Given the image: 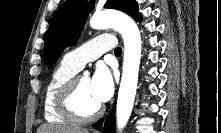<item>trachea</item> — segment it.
<instances>
[{"mask_svg": "<svg viewBox=\"0 0 221 133\" xmlns=\"http://www.w3.org/2000/svg\"><path fill=\"white\" fill-rule=\"evenodd\" d=\"M122 49L120 47H117L115 49V55H121Z\"/></svg>", "mask_w": 221, "mask_h": 133, "instance_id": "trachea-1", "label": "trachea"}]
</instances>
